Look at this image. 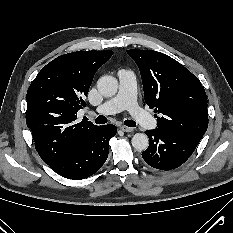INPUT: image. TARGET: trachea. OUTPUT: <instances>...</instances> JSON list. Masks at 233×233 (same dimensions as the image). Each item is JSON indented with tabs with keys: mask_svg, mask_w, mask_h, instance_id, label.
I'll return each instance as SVG.
<instances>
[{
	"mask_svg": "<svg viewBox=\"0 0 233 233\" xmlns=\"http://www.w3.org/2000/svg\"><path fill=\"white\" fill-rule=\"evenodd\" d=\"M107 121H108L107 118L103 115H99L95 119V123H97V124H105V123H107ZM124 125H126L128 127H136V122L133 120H125Z\"/></svg>",
	"mask_w": 233,
	"mask_h": 233,
	"instance_id": "trachea-1",
	"label": "trachea"
}]
</instances>
